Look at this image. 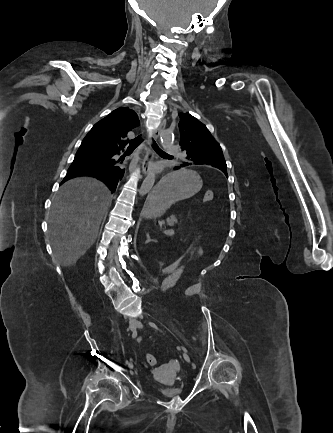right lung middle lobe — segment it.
I'll use <instances>...</instances> for the list:
<instances>
[{
  "mask_svg": "<svg viewBox=\"0 0 333 433\" xmlns=\"http://www.w3.org/2000/svg\"><path fill=\"white\" fill-rule=\"evenodd\" d=\"M76 155H95V156H103V155H107V153H104V152L99 151V150L94 149V148L80 146V148L78 149Z\"/></svg>",
  "mask_w": 333,
  "mask_h": 433,
  "instance_id": "right-lung-middle-lobe-1",
  "label": "right lung middle lobe"
}]
</instances>
